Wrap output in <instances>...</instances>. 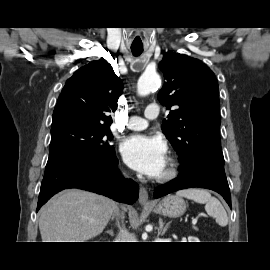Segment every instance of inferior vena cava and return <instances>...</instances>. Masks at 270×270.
I'll list each match as a JSON object with an SVG mask.
<instances>
[{
    "mask_svg": "<svg viewBox=\"0 0 270 270\" xmlns=\"http://www.w3.org/2000/svg\"><path fill=\"white\" fill-rule=\"evenodd\" d=\"M114 215L115 216H120V217H124L122 214H120L119 209L117 208L114 211ZM130 239V234L127 231V229L125 227L120 228V231L116 237V241L115 242H129Z\"/></svg>",
    "mask_w": 270,
    "mask_h": 270,
    "instance_id": "602c4592",
    "label": "inferior vena cava"
}]
</instances>
